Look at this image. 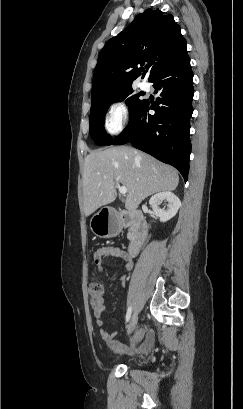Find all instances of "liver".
Masks as SVG:
<instances>
[{
    "label": "liver",
    "instance_id": "obj_1",
    "mask_svg": "<svg viewBox=\"0 0 243 409\" xmlns=\"http://www.w3.org/2000/svg\"><path fill=\"white\" fill-rule=\"evenodd\" d=\"M116 182L127 188L125 208L133 213L148 196L175 190L179 176L172 166L129 146L93 151L85 158L83 171L86 216L115 201Z\"/></svg>",
    "mask_w": 243,
    "mask_h": 409
}]
</instances>
